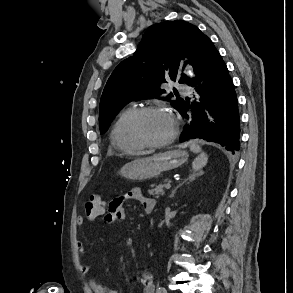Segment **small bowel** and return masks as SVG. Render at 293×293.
Instances as JSON below:
<instances>
[{
    "mask_svg": "<svg viewBox=\"0 0 293 293\" xmlns=\"http://www.w3.org/2000/svg\"><path fill=\"white\" fill-rule=\"evenodd\" d=\"M129 200L139 201L146 213H151L155 206L154 199L147 197L143 194L142 190L138 187L130 189L124 195L112 199L104 210V220L106 223H116L126 219L127 213L124 203ZM78 224H83V219L78 220ZM77 250L79 253L86 257L87 253L82 242L77 243ZM90 267L88 264L81 265V271L83 273H88ZM140 282L143 287V293H155L154 275L150 271H143L140 275ZM89 286L94 293H119L118 290L107 287L94 278L88 279Z\"/></svg>",
    "mask_w": 293,
    "mask_h": 293,
    "instance_id": "obj_1",
    "label": "small bowel"
}]
</instances>
